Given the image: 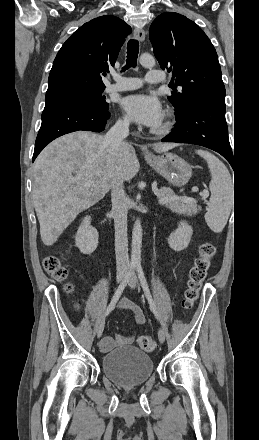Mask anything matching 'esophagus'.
Masks as SVG:
<instances>
[{
    "instance_id": "1",
    "label": "esophagus",
    "mask_w": 259,
    "mask_h": 440,
    "mask_svg": "<svg viewBox=\"0 0 259 440\" xmlns=\"http://www.w3.org/2000/svg\"><path fill=\"white\" fill-rule=\"evenodd\" d=\"M134 38L140 42H143L145 40V31L142 28H136L134 30Z\"/></svg>"
}]
</instances>
